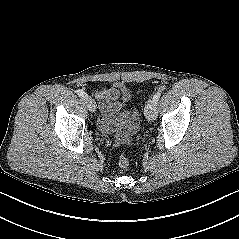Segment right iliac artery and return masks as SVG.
Here are the masks:
<instances>
[{
	"label": "right iliac artery",
	"instance_id": "1",
	"mask_svg": "<svg viewBox=\"0 0 239 239\" xmlns=\"http://www.w3.org/2000/svg\"><path fill=\"white\" fill-rule=\"evenodd\" d=\"M77 95L80 96V97H84L86 95V93L83 91V90H77L76 91Z\"/></svg>",
	"mask_w": 239,
	"mask_h": 239
}]
</instances>
